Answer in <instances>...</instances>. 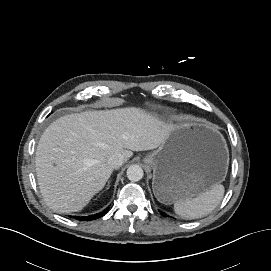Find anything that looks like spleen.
<instances>
[{"mask_svg":"<svg viewBox=\"0 0 271 271\" xmlns=\"http://www.w3.org/2000/svg\"><path fill=\"white\" fill-rule=\"evenodd\" d=\"M224 186L214 184L209 190L195 198H185L174 203L175 213L185 219H197L211 213L224 196Z\"/></svg>","mask_w":271,"mask_h":271,"instance_id":"spleen-1","label":"spleen"}]
</instances>
